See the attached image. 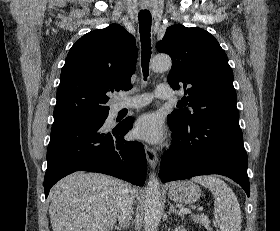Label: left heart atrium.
<instances>
[{"mask_svg":"<svg viewBox=\"0 0 280 231\" xmlns=\"http://www.w3.org/2000/svg\"><path fill=\"white\" fill-rule=\"evenodd\" d=\"M132 134L134 138L152 144L161 143L165 138L162 120L156 114H144L134 123Z\"/></svg>","mask_w":280,"mask_h":231,"instance_id":"obj_1","label":"left heart atrium"}]
</instances>
